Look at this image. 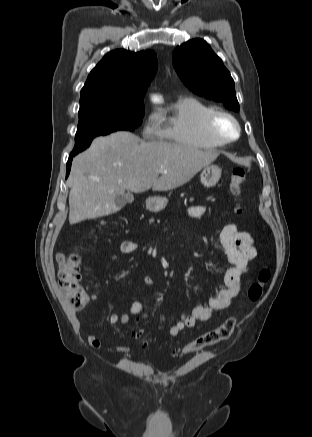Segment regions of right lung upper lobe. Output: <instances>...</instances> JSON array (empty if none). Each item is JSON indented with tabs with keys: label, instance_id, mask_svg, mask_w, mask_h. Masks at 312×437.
I'll use <instances>...</instances> for the list:
<instances>
[{
	"label": "right lung upper lobe",
	"instance_id": "right-lung-upper-lobe-1",
	"mask_svg": "<svg viewBox=\"0 0 312 437\" xmlns=\"http://www.w3.org/2000/svg\"><path fill=\"white\" fill-rule=\"evenodd\" d=\"M156 70L154 51H112L90 72L81 90L80 108L144 105V94Z\"/></svg>",
	"mask_w": 312,
	"mask_h": 437
}]
</instances>
